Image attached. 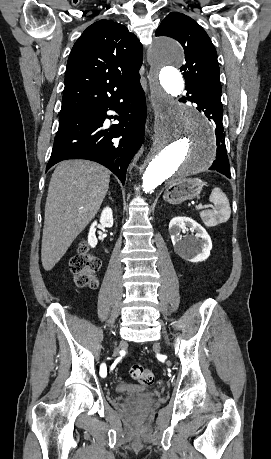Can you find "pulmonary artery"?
<instances>
[{"mask_svg": "<svg viewBox=\"0 0 271 459\" xmlns=\"http://www.w3.org/2000/svg\"><path fill=\"white\" fill-rule=\"evenodd\" d=\"M189 103H190V104H193V103H194V100H193V99H190V100H189ZM195 107H196V108H200V107H201V104H200V103H196V104H195Z\"/></svg>", "mask_w": 271, "mask_h": 459, "instance_id": "e3ab8cb5", "label": "pulmonary artery"}]
</instances>
